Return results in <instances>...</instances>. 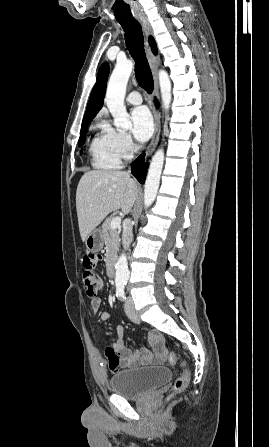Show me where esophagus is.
<instances>
[{"label": "esophagus", "instance_id": "esophagus-1", "mask_svg": "<svg viewBox=\"0 0 269 447\" xmlns=\"http://www.w3.org/2000/svg\"><path fill=\"white\" fill-rule=\"evenodd\" d=\"M138 21L140 22V24L142 25L143 28V32L145 35V51L147 54V58L149 61V65H150V69L152 72V76L154 79V90H153V98L157 99L158 95H159V89H158V77H157V70H158V66L160 63V59L159 56H155L151 50V47L149 46V42H148V38L149 36L152 35V27L151 24L147 18L146 15H140L138 17ZM152 111H153V115H154V126H155V130H154V134L152 137V140L148 146V149L146 151L145 154V160L147 158V156L154 150V148L156 147V145L158 144L159 141V136H160V131H161V116L158 113V111L156 110L155 107H152Z\"/></svg>", "mask_w": 269, "mask_h": 447}]
</instances>
